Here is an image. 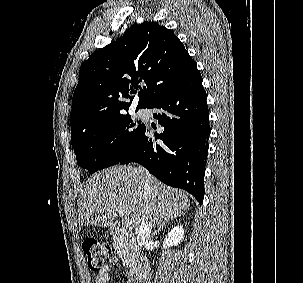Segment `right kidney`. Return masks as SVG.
I'll list each match as a JSON object with an SVG mask.
<instances>
[{
	"mask_svg": "<svg viewBox=\"0 0 303 283\" xmlns=\"http://www.w3.org/2000/svg\"><path fill=\"white\" fill-rule=\"evenodd\" d=\"M183 239H184L183 226H176L166 236L163 242V248L167 249L172 246H177L182 242Z\"/></svg>",
	"mask_w": 303,
	"mask_h": 283,
	"instance_id": "right-kidney-1",
	"label": "right kidney"
}]
</instances>
